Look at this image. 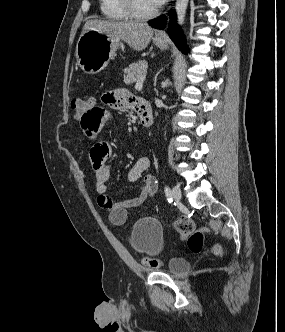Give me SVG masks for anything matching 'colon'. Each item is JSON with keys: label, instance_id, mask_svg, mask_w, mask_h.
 Masks as SVG:
<instances>
[{"label": "colon", "instance_id": "1", "mask_svg": "<svg viewBox=\"0 0 285 332\" xmlns=\"http://www.w3.org/2000/svg\"><path fill=\"white\" fill-rule=\"evenodd\" d=\"M90 106H98L92 97L83 96L73 100L72 111L74 117L77 119L78 115L83 114V111H89ZM175 228L184 237L187 247L191 252L198 253L202 250L204 235L207 231L205 228L197 229L194 222L187 217L178 218L175 222ZM213 251L215 254L220 255L222 248L219 244H216L213 247ZM144 263L149 267H159L162 262L158 259L144 258Z\"/></svg>", "mask_w": 285, "mask_h": 332}]
</instances>
